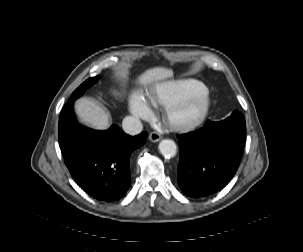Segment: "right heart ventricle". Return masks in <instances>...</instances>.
<instances>
[{"instance_id":"e07e8e85","label":"right heart ventricle","mask_w":303,"mask_h":252,"mask_svg":"<svg viewBox=\"0 0 303 252\" xmlns=\"http://www.w3.org/2000/svg\"><path fill=\"white\" fill-rule=\"evenodd\" d=\"M193 88V86L189 87L181 84H169L162 89L157 98H151V101L154 103L161 102L165 105H172L186 99Z\"/></svg>"}]
</instances>
